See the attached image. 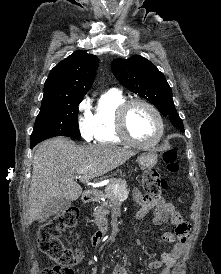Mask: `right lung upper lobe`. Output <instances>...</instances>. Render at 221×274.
Segmentation results:
<instances>
[{
	"label": "right lung upper lobe",
	"mask_w": 221,
	"mask_h": 274,
	"mask_svg": "<svg viewBox=\"0 0 221 274\" xmlns=\"http://www.w3.org/2000/svg\"><path fill=\"white\" fill-rule=\"evenodd\" d=\"M98 58L77 50L59 62L44 84L43 100L83 98L91 87Z\"/></svg>",
	"instance_id": "1"
}]
</instances>
